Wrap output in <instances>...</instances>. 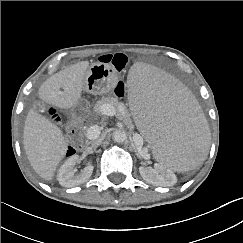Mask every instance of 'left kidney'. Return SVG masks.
Listing matches in <instances>:
<instances>
[{"mask_svg": "<svg viewBox=\"0 0 243 243\" xmlns=\"http://www.w3.org/2000/svg\"><path fill=\"white\" fill-rule=\"evenodd\" d=\"M139 172L146 182L156 186L170 187L177 182L175 173L163 163L154 164V168L141 166Z\"/></svg>", "mask_w": 243, "mask_h": 243, "instance_id": "1", "label": "left kidney"}]
</instances>
